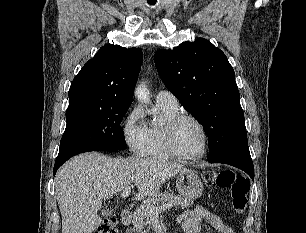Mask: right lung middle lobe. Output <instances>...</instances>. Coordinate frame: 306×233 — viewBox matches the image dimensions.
<instances>
[{"mask_svg": "<svg viewBox=\"0 0 306 233\" xmlns=\"http://www.w3.org/2000/svg\"><path fill=\"white\" fill-rule=\"evenodd\" d=\"M129 107L89 101L69 104L56 160L84 151L126 149L120 124Z\"/></svg>", "mask_w": 306, "mask_h": 233, "instance_id": "right-lung-middle-lobe-1", "label": "right lung middle lobe"}]
</instances>
